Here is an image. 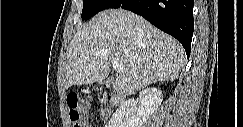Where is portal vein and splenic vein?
Instances as JSON below:
<instances>
[{
    "label": "portal vein and splenic vein",
    "instance_id": "1",
    "mask_svg": "<svg viewBox=\"0 0 243 127\" xmlns=\"http://www.w3.org/2000/svg\"><path fill=\"white\" fill-rule=\"evenodd\" d=\"M112 68L116 72H121L124 69L123 65L121 63H118V62H113L112 63Z\"/></svg>",
    "mask_w": 243,
    "mask_h": 127
}]
</instances>
